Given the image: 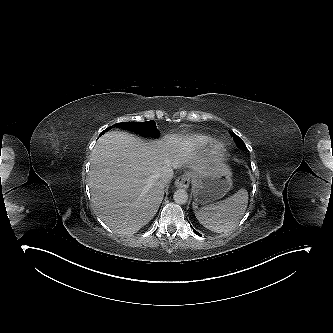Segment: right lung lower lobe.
Here are the masks:
<instances>
[{"label": "right lung lower lobe", "mask_w": 333, "mask_h": 333, "mask_svg": "<svg viewBox=\"0 0 333 333\" xmlns=\"http://www.w3.org/2000/svg\"><path fill=\"white\" fill-rule=\"evenodd\" d=\"M105 132H107V131H103V132L100 134V136H101L102 134H104Z\"/></svg>", "instance_id": "1"}]
</instances>
